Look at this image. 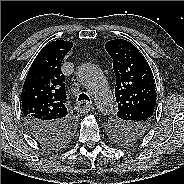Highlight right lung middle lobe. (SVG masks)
<instances>
[{"label": "right lung middle lobe", "instance_id": "1", "mask_svg": "<svg viewBox=\"0 0 184 184\" xmlns=\"http://www.w3.org/2000/svg\"><path fill=\"white\" fill-rule=\"evenodd\" d=\"M73 132H74V128H73L72 131H69V134L66 135L65 138H63V140H62L60 143H57V144H55V145H52L51 147H55V148L58 147V148H59V147H61L62 145H64V144L71 138Z\"/></svg>", "mask_w": 184, "mask_h": 184}]
</instances>
